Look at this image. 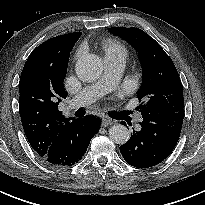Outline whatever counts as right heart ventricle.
Segmentation results:
<instances>
[{
  "label": "right heart ventricle",
  "instance_id": "right-heart-ventricle-1",
  "mask_svg": "<svg viewBox=\"0 0 205 205\" xmlns=\"http://www.w3.org/2000/svg\"><path fill=\"white\" fill-rule=\"evenodd\" d=\"M105 57H124L127 58V49L116 39L105 38L101 42Z\"/></svg>",
  "mask_w": 205,
  "mask_h": 205
}]
</instances>
